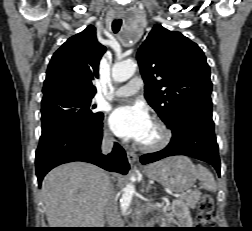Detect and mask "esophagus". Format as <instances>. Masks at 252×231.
I'll list each match as a JSON object with an SVG mask.
<instances>
[{
    "label": "esophagus",
    "mask_w": 252,
    "mask_h": 231,
    "mask_svg": "<svg viewBox=\"0 0 252 231\" xmlns=\"http://www.w3.org/2000/svg\"><path fill=\"white\" fill-rule=\"evenodd\" d=\"M123 13L122 12H118L116 17L117 18H120L122 17ZM127 159L129 161V163H134L137 161L138 157H137V154L135 152H132V151H127Z\"/></svg>",
    "instance_id": "esophagus-1"
}]
</instances>
